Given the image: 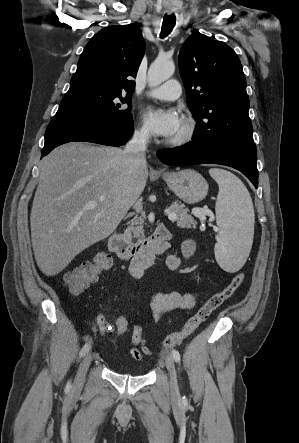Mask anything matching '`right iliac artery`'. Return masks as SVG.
I'll return each mask as SVG.
<instances>
[{
	"label": "right iliac artery",
	"mask_w": 299,
	"mask_h": 443,
	"mask_svg": "<svg viewBox=\"0 0 299 443\" xmlns=\"http://www.w3.org/2000/svg\"><path fill=\"white\" fill-rule=\"evenodd\" d=\"M89 350H90V344L87 343V344H85L82 347V349H81V351L79 353V357L81 358V357L85 356L86 353H88ZM70 387H71V384H70V381H69L68 384H67V389H69Z\"/></svg>",
	"instance_id": "82829eb1"
}]
</instances>
